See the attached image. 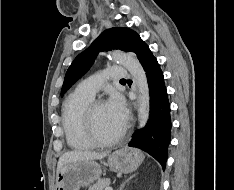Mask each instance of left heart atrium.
Instances as JSON below:
<instances>
[{
    "instance_id": "39dd6f15",
    "label": "left heart atrium",
    "mask_w": 234,
    "mask_h": 190,
    "mask_svg": "<svg viewBox=\"0 0 234 190\" xmlns=\"http://www.w3.org/2000/svg\"><path fill=\"white\" fill-rule=\"evenodd\" d=\"M106 105L116 120L124 125L128 116L124 99L118 94H113L106 102Z\"/></svg>"
}]
</instances>
